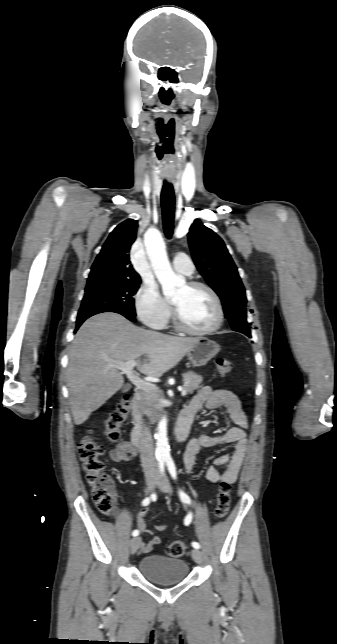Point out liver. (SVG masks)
Wrapping results in <instances>:
<instances>
[{
    "instance_id": "1",
    "label": "liver",
    "mask_w": 337,
    "mask_h": 644,
    "mask_svg": "<svg viewBox=\"0 0 337 644\" xmlns=\"http://www.w3.org/2000/svg\"><path fill=\"white\" fill-rule=\"evenodd\" d=\"M198 338H179L138 328L116 313H100L79 328L66 370L74 423L81 425L124 383L114 362L136 361L138 370L159 378L176 366ZM146 356L142 364L141 356Z\"/></svg>"
}]
</instances>
